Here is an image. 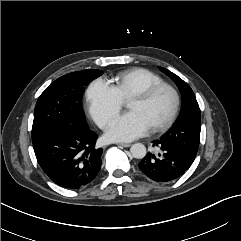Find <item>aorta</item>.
I'll list each match as a JSON object with an SVG mask.
<instances>
[{"instance_id":"aorta-1","label":"aorta","mask_w":241,"mask_h":241,"mask_svg":"<svg viewBox=\"0 0 241 241\" xmlns=\"http://www.w3.org/2000/svg\"><path fill=\"white\" fill-rule=\"evenodd\" d=\"M131 155L136 159H142L146 155V147L142 143H135L130 148Z\"/></svg>"}]
</instances>
